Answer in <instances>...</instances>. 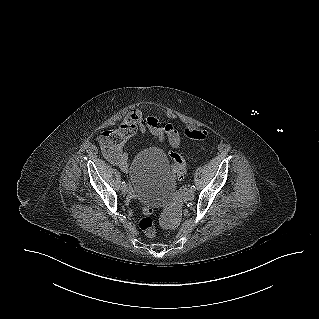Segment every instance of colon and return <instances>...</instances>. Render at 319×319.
Segmentation results:
<instances>
[{
	"label": "colon",
	"instance_id": "1",
	"mask_svg": "<svg viewBox=\"0 0 319 319\" xmlns=\"http://www.w3.org/2000/svg\"><path fill=\"white\" fill-rule=\"evenodd\" d=\"M179 131L186 137L201 143H207L211 139V134L208 130L193 126V124L188 121L180 124ZM170 160L174 177L178 180L183 179L187 170V164L184 157L180 153L171 152ZM152 213L153 211L151 208L144 207L143 215L138 221L139 229L149 237H153L156 234L155 219Z\"/></svg>",
	"mask_w": 319,
	"mask_h": 319
}]
</instances>
